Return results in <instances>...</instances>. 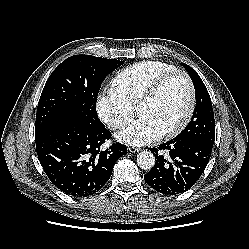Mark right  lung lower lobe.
<instances>
[{
	"instance_id": "obj_1",
	"label": "right lung lower lobe",
	"mask_w": 249,
	"mask_h": 249,
	"mask_svg": "<svg viewBox=\"0 0 249 249\" xmlns=\"http://www.w3.org/2000/svg\"><path fill=\"white\" fill-rule=\"evenodd\" d=\"M111 133L71 121L35 133L39 161L50 181L73 197L98 192L109 180L115 162L127 153L125 145L113 144L103 151L101 145Z\"/></svg>"
}]
</instances>
